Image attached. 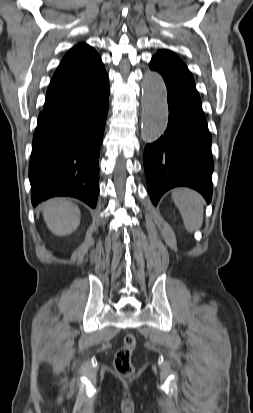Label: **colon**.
<instances>
[{
    "instance_id": "1",
    "label": "colon",
    "mask_w": 253,
    "mask_h": 413,
    "mask_svg": "<svg viewBox=\"0 0 253 413\" xmlns=\"http://www.w3.org/2000/svg\"><path fill=\"white\" fill-rule=\"evenodd\" d=\"M136 337L133 334H127L124 337L123 345L118 349L114 367L116 372L122 377H129L134 373V365L132 363V355L136 348Z\"/></svg>"
}]
</instances>
